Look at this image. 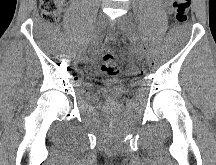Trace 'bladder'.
I'll list each match as a JSON object with an SVG mask.
<instances>
[{
    "mask_svg": "<svg viewBox=\"0 0 216 165\" xmlns=\"http://www.w3.org/2000/svg\"><path fill=\"white\" fill-rule=\"evenodd\" d=\"M119 81H124V76L118 77ZM97 81H103L99 86L100 97H121L122 93L119 89H106V86H118V81H111V76H97Z\"/></svg>",
    "mask_w": 216,
    "mask_h": 165,
    "instance_id": "obj_1",
    "label": "bladder"
}]
</instances>
